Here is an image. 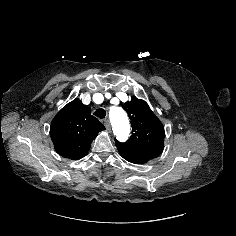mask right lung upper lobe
<instances>
[{
  "label": "right lung upper lobe",
  "instance_id": "1",
  "mask_svg": "<svg viewBox=\"0 0 236 236\" xmlns=\"http://www.w3.org/2000/svg\"><path fill=\"white\" fill-rule=\"evenodd\" d=\"M104 129V125L91 115L90 108L75 99L53 118L50 136L59 155L78 160L87 154L92 140Z\"/></svg>",
  "mask_w": 236,
  "mask_h": 236
}]
</instances>
